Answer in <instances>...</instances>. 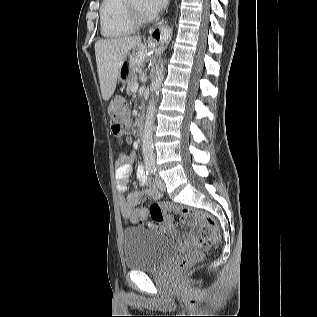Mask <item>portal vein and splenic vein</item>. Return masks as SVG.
I'll list each match as a JSON object with an SVG mask.
<instances>
[{
    "label": "portal vein and splenic vein",
    "instance_id": "obj_1",
    "mask_svg": "<svg viewBox=\"0 0 317 317\" xmlns=\"http://www.w3.org/2000/svg\"><path fill=\"white\" fill-rule=\"evenodd\" d=\"M138 87H139V85H138V83L136 82V83L134 84L133 88H132V92H136V91L138 90Z\"/></svg>",
    "mask_w": 317,
    "mask_h": 317
}]
</instances>
